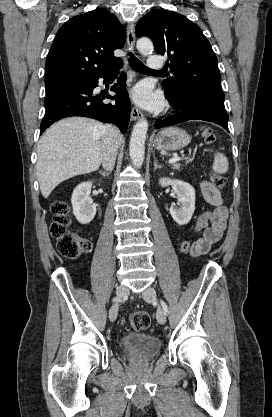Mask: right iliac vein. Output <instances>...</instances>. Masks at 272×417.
Returning <instances> with one entry per match:
<instances>
[{"mask_svg":"<svg viewBox=\"0 0 272 417\" xmlns=\"http://www.w3.org/2000/svg\"><path fill=\"white\" fill-rule=\"evenodd\" d=\"M129 294V289L126 286L120 285L117 287L116 290V296L117 301L111 306L109 310V319L113 322L116 320L118 315V309H119V301L125 297H127Z\"/></svg>","mask_w":272,"mask_h":417,"instance_id":"63e3f726","label":"right iliac vein"}]
</instances>
